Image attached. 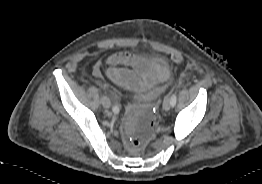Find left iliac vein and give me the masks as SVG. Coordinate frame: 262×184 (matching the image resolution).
<instances>
[{
	"label": "left iliac vein",
	"mask_w": 262,
	"mask_h": 184,
	"mask_svg": "<svg viewBox=\"0 0 262 184\" xmlns=\"http://www.w3.org/2000/svg\"><path fill=\"white\" fill-rule=\"evenodd\" d=\"M170 108H171L170 99H169V98H166V99L164 100V103H163V109H164L165 111H169Z\"/></svg>",
	"instance_id": "left-iliac-vein-1"
}]
</instances>
